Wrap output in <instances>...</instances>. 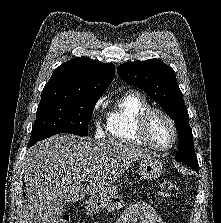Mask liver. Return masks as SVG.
I'll use <instances>...</instances> for the list:
<instances>
[{"label": "liver", "mask_w": 221, "mask_h": 223, "mask_svg": "<svg viewBox=\"0 0 221 223\" xmlns=\"http://www.w3.org/2000/svg\"><path fill=\"white\" fill-rule=\"evenodd\" d=\"M151 157L153 152L123 140L60 134L38 142L23 161L28 206L21 223H56L66 203L104 191L133 162Z\"/></svg>", "instance_id": "liver-1"}]
</instances>
